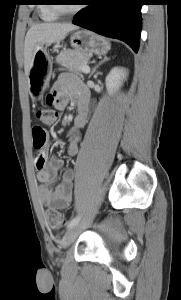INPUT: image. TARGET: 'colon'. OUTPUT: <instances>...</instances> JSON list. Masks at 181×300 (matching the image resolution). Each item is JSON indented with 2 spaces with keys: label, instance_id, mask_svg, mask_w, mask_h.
<instances>
[{
  "label": "colon",
  "instance_id": "1",
  "mask_svg": "<svg viewBox=\"0 0 181 300\" xmlns=\"http://www.w3.org/2000/svg\"><path fill=\"white\" fill-rule=\"evenodd\" d=\"M51 102L52 96H48L47 103L51 104ZM34 115L36 120L44 125H50L54 123L58 118V113L51 108L37 109ZM47 141L48 134L46 130L40 125H35L32 130V145L34 150L36 151L35 164L37 168H40L45 164V157L41 154V152L43 151V148L46 145ZM45 219L49 227H51L52 229H60L66 223L65 216L55 209L46 210Z\"/></svg>",
  "mask_w": 181,
  "mask_h": 300
}]
</instances>
